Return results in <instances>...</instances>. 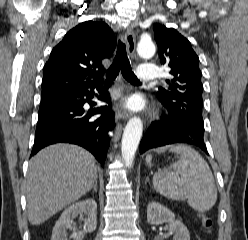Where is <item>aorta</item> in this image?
Listing matches in <instances>:
<instances>
[{
  "label": "aorta",
  "instance_id": "obj_1",
  "mask_svg": "<svg viewBox=\"0 0 248 240\" xmlns=\"http://www.w3.org/2000/svg\"><path fill=\"white\" fill-rule=\"evenodd\" d=\"M137 52L143 58L155 54V45L149 38H143L137 45ZM143 132V123L139 117L131 118L123 132L121 142L122 158L127 167H131Z\"/></svg>",
  "mask_w": 248,
  "mask_h": 240
}]
</instances>
